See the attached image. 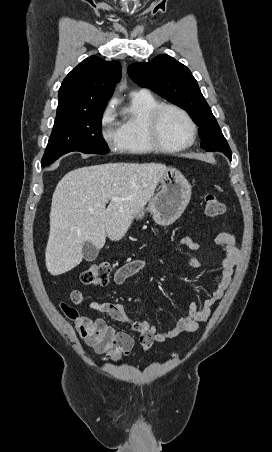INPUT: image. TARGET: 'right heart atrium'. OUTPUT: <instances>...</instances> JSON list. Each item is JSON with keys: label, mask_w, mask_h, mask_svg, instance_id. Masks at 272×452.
<instances>
[{"label": "right heart atrium", "mask_w": 272, "mask_h": 452, "mask_svg": "<svg viewBox=\"0 0 272 452\" xmlns=\"http://www.w3.org/2000/svg\"><path fill=\"white\" fill-rule=\"evenodd\" d=\"M100 135L110 149H121L122 138L119 128L115 127V112L111 103L105 107L100 116Z\"/></svg>", "instance_id": "obj_1"}]
</instances>
